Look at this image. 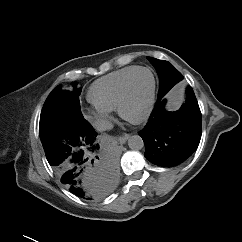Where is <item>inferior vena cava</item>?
Returning a JSON list of instances; mask_svg holds the SVG:
<instances>
[{
  "label": "inferior vena cava",
  "instance_id": "1",
  "mask_svg": "<svg viewBox=\"0 0 242 242\" xmlns=\"http://www.w3.org/2000/svg\"><path fill=\"white\" fill-rule=\"evenodd\" d=\"M94 128L97 131H106L112 129L113 124L107 119H98L94 122Z\"/></svg>",
  "mask_w": 242,
  "mask_h": 242
}]
</instances>
